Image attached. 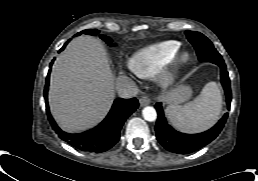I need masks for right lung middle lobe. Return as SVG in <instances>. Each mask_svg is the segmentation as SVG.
Here are the masks:
<instances>
[{"mask_svg":"<svg viewBox=\"0 0 258 181\" xmlns=\"http://www.w3.org/2000/svg\"><path fill=\"white\" fill-rule=\"evenodd\" d=\"M99 33L98 30L96 29H87V30H84L80 33H78L76 36L80 35V34H88V35H97ZM100 38L105 41L108 45L110 46H114V44L112 43V39L104 36V35H100Z\"/></svg>","mask_w":258,"mask_h":181,"instance_id":"1","label":"right lung middle lobe"}]
</instances>
